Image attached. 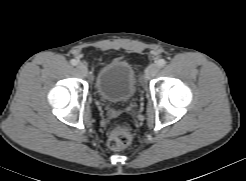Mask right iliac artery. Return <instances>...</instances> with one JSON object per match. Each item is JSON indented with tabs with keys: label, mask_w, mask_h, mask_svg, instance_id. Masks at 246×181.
I'll list each match as a JSON object with an SVG mask.
<instances>
[{
	"label": "right iliac artery",
	"mask_w": 246,
	"mask_h": 181,
	"mask_svg": "<svg viewBox=\"0 0 246 181\" xmlns=\"http://www.w3.org/2000/svg\"><path fill=\"white\" fill-rule=\"evenodd\" d=\"M70 63H71L73 66H76V65L78 64V61L75 60V59H72V60L70 61Z\"/></svg>",
	"instance_id": "obj_1"
}]
</instances>
